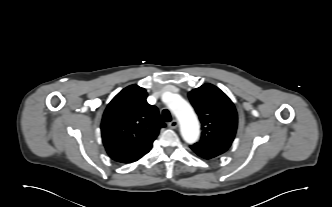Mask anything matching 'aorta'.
Returning <instances> with one entry per match:
<instances>
[{
	"label": "aorta",
	"mask_w": 332,
	"mask_h": 207,
	"mask_svg": "<svg viewBox=\"0 0 332 207\" xmlns=\"http://www.w3.org/2000/svg\"><path fill=\"white\" fill-rule=\"evenodd\" d=\"M167 105L180 123L183 139L192 144L199 137V121L191 105L178 94H170Z\"/></svg>",
	"instance_id": "1"
}]
</instances>
